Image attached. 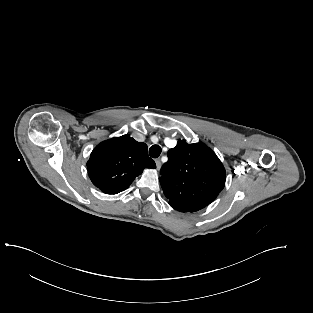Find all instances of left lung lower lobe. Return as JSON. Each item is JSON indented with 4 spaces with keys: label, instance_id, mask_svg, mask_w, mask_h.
Here are the masks:
<instances>
[{
    "label": "left lung lower lobe",
    "instance_id": "0a47b994",
    "mask_svg": "<svg viewBox=\"0 0 313 313\" xmlns=\"http://www.w3.org/2000/svg\"><path fill=\"white\" fill-rule=\"evenodd\" d=\"M172 208H174V209H176V210H178V211H181V212H187V211H185V210L182 209V208H175V207H172Z\"/></svg>",
    "mask_w": 313,
    "mask_h": 313
}]
</instances>
